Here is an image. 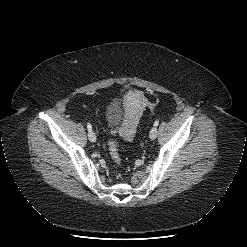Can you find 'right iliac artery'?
<instances>
[{"label":"right iliac artery","mask_w":247,"mask_h":247,"mask_svg":"<svg viewBox=\"0 0 247 247\" xmlns=\"http://www.w3.org/2000/svg\"><path fill=\"white\" fill-rule=\"evenodd\" d=\"M87 129H88V131H91L92 130V126H91L90 123H87Z\"/></svg>","instance_id":"right-iliac-artery-1"}]
</instances>
